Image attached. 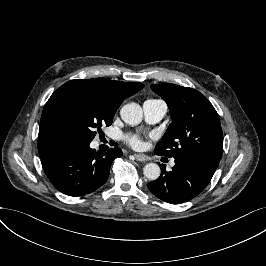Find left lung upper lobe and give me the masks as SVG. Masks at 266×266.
Instances as JSON below:
<instances>
[{
    "mask_svg": "<svg viewBox=\"0 0 266 266\" xmlns=\"http://www.w3.org/2000/svg\"><path fill=\"white\" fill-rule=\"evenodd\" d=\"M167 103L173 122L155 151L167 157L192 155L219 163L223 134L218 114L199 91L174 84L151 85Z\"/></svg>",
    "mask_w": 266,
    "mask_h": 266,
    "instance_id": "left-lung-upper-lobe-1",
    "label": "left lung upper lobe"
}]
</instances>
